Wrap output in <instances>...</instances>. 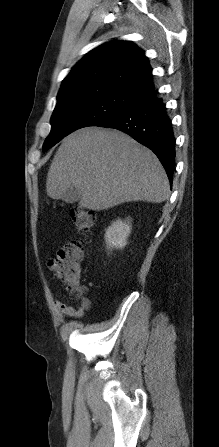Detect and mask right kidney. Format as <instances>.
<instances>
[{
  "label": "right kidney",
  "mask_w": 219,
  "mask_h": 447,
  "mask_svg": "<svg viewBox=\"0 0 219 447\" xmlns=\"http://www.w3.org/2000/svg\"><path fill=\"white\" fill-rule=\"evenodd\" d=\"M130 219L122 221L120 219L112 223L106 230L105 241L107 246L113 248H123L127 243V238L131 233Z\"/></svg>",
  "instance_id": "obj_1"
}]
</instances>
